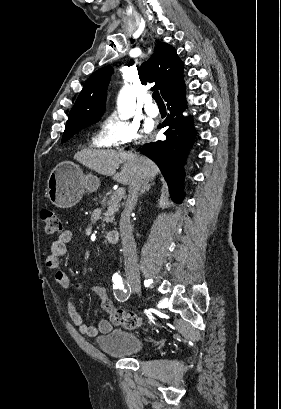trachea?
I'll use <instances>...</instances> for the list:
<instances>
[{
  "mask_svg": "<svg viewBox=\"0 0 281 409\" xmlns=\"http://www.w3.org/2000/svg\"><path fill=\"white\" fill-rule=\"evenodd\" d=\"M152 98L157 102V103H163V100L159 94V92H153Z\"/></svg>",
  "mask_w": 281,
  "mask_h": 409,
  "instance_id": "3493384b",
  "label": "trachea"
}]
</instances>
